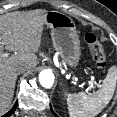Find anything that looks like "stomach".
<instances>
[{"label":"stomach","mask_w":117,"mask_h":117,"mask_svg":"<svg viewBox=\"0 0 117 117\" xmlns=\"http://www.w3.org/2000/svg\"><path fill=\"white\" fill-rule=\"evenodd\" d=\"M45 24L51 29L53 46L60 59L71 67L76 66L81 48L74 21L63 13L48 12L45 15Z\"/></svg>","instance_id":"stomach-1"}]
</instances>
